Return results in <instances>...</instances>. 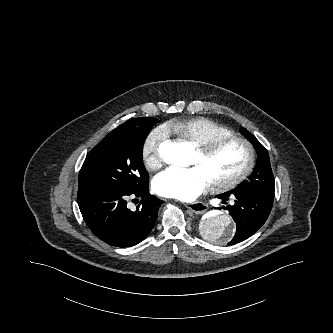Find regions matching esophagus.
<instances>
[{
	"mask_svg": "<svg viewBox=\"0 0 333 333\" xmlns=\"http://www.w3.org/2000/svg\"><path fill=\"white\" fill-rule=\"evenodd\" d=\"M184 206L195 214H203L207 210V206L201 202L185 203Z\"/></svg>",
	"mask_w": 333,
	"mask_h": 333,
	"instance_id": "1",
	"label": "esophagus"
}]
</instances>
